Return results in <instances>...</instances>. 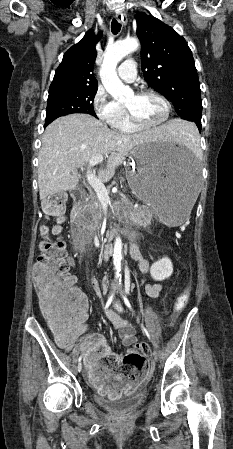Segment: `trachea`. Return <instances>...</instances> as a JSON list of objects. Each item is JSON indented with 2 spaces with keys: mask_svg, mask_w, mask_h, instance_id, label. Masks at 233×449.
<instances>
[{
  "mask_svg": "<svg viewBox=\"0 0 233 449\" xmlns=\"http://www.w3.org/2000/svg\"><path fill=\"white\" fill-rule=\"evenodd\" d=\"M120 29H121V24L116 19H113L111 22L112 33L116 35L120 31Z\"/></svg>",
  "mask_w": 233,
  "mask_h": 449,
  "instance_id": "trachea-1",
  "label": "trachea"
}]
</instances>
